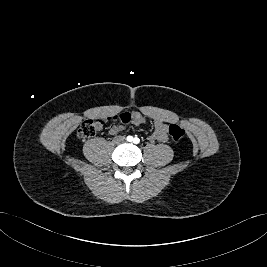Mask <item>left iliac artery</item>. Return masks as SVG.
<instances>
[{"label": "left iliac artery", "mask_w": 267, "mask_h": 267, "mask_svg": "<svg viewBox=\"0 0 267 267\" xmlns=\"http://www.w3.org/2000/svg\"><path fill=\"white\" fill-rule=\"evenodd\" d=\"M133 143L135 144L140 143V139L138 137L133 138Z\"/></svg>", "instance_id": "1"}]
</instances>
